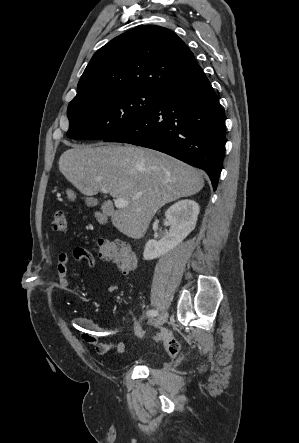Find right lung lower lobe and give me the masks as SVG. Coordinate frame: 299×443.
<instances>
[{"mask_svg":"<svg viewBox=\"0 0 299 443\" xmlns=\"http://www.w3.org/2000/svg\"><path fill=\"white\" fill-rule=\"evenodd\" d=\"M104 142L155 149L205 170L216 190L225 146L219 99L201 70L159 91L154 107Z\"/></svg>","mask_w":299,"mask_h":443,"instance_id":"98d812e1","label":"right lung lower lobe"}]
</instances>
